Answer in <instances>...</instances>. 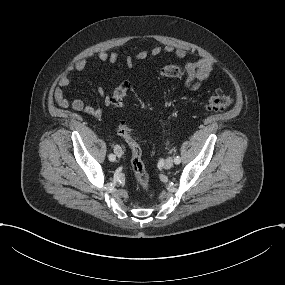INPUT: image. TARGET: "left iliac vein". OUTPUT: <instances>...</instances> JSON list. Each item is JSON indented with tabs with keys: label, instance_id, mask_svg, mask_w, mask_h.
Here are the masks:
<instances>
[{
	"label": "left iliac vein",
	"instance_id": "4c4485c4",
	"mask_svg": "<svg viewBox=\"0 0 285 285\" xmlns=\"http://www.w3.org/2000/svg\"><path fill=\"white\" fill-rule=\"evenodd\" d=\"M173 166V160L171 157H168L165 161L164 168L170 169Z\"/></svg>",
	"mask_w": 285,
	"mask_h": 285
}]
</instances>
